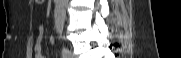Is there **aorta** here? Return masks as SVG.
Returning <instances> with one entry per match:
<instances>
[{"mask_svg":"<svg viewBox=\"0 0 181 58\" xmlns=\"http://www.w3.org/2000/svg\"><path fill=\"white\" fill-rule=\"evenodd\" d=\"M68 0H55L54 24L57 32H62L66 18Z\"/></svg>","mask_w":181,"mask_h":58,"instance_id":"obj_1","label":"aorta"}]
</instances>
